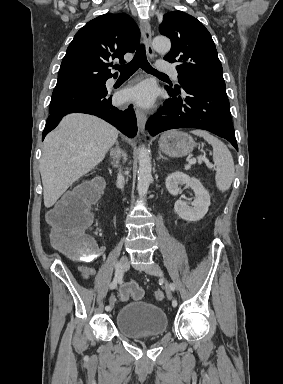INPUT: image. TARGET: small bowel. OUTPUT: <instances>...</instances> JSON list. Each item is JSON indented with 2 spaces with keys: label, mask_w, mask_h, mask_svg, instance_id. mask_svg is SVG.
<instances>
[{
  "label": "small bowel",
  "mask_w": 283,
  "mask_h": 384,
  "mask_svg": "<svg viewBox=\"0 0 283 384\" xmlns=\"http://www.w3.org/2000/svg\"><path fill=\"white\" fill-rule=\"evenodd\" d=\"M97 255H98V250H97ZM79 271L85 279H89L90 277H92L96 273L95 269H93L92 267H89L87 265L80 266ZM127 284H135V283L130 282Z\"/></svg>",
  "instance_id": "c3829d8e"
}]
</instances>
